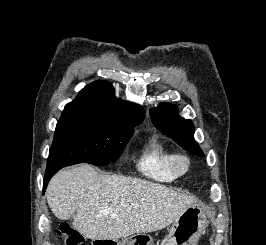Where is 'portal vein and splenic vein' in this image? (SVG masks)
Segmentation results:
<instances>
[{
	"label": "portal vein and splenic vein",
	"mask_w": 266,
	"mask_h": 245,
	"mask_svg": "<svg viewBox=\"0 0 266 245\" xmlns=\"http://www.w3.org/2000/svg\"><path fill=\"white\" fill-rule=\"evenodd\" d=\"M100 213H112V211H110V209H102Z\"/></svg>",
	"instance_id": "1"
}]
</instances>
